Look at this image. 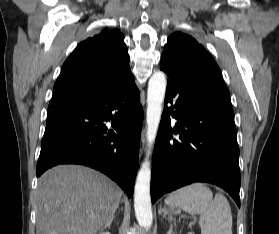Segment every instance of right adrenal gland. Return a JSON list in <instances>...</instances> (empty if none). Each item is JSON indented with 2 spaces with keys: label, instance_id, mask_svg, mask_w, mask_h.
Returning <instances> with one entry per match:
<instances>
[{
  "label": "right adrenal gland",
  "instance_id": "obj_1",
  "mask_svg": "<svg viewBox=\"0 0 279 234\" xmlns=\"http://www.w3.org/2000/svg\"><path fill=\"white\" fill-rule=\"evenodd\" d=\"M114 218H115V215H112V217L109 219V221L105 224V226L103 228L105 229V228L108 227L110 229L111 224H112Z\"/></svg>",
  "mask_w": 279,
  "mask_h": 234
}]
</instances>
